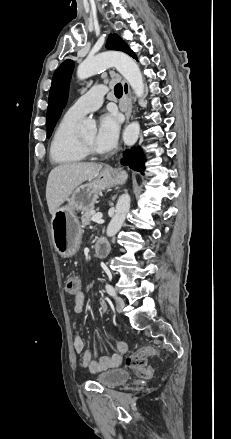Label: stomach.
Segmentation results:
<instances>
[{"label":"stomach","mask_w":231,"mask_h":439,"mask_svg":"<svg viewBox=\"0 0 231 439\" xmlns=\"http://www.w3.org/2000/svg\"><path fill=\"white\" fill-rule=\"evenodd\" d=\"M126 179L125 171L104 168L94 179L75 188L67 204L56 210L51 219V229L55 249L61 257L74 256L80 247L82 226L75 212L93 208L105 189L123 184Z\"/></svg>","instance_id":"stomach-1"}]
</instances>
